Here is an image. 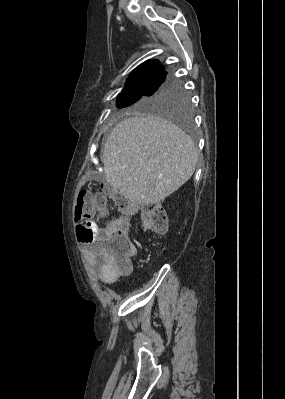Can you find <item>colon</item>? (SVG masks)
<instances>
[{"label": "colon", "mask_w": 285, "mask_h": 399, "mask_svg": "<svg viewBox=\"0 0 285 399\" xmlns=\"http://www.w3.org/2000/svg\"><path fill=\"white\" fill-rule=\"evenodd\" d=\"M111 202H116L125 211L136 214L142 220L144 226L152 231L165 233L167 221L165 211L158 203L147 204L142 208L131 205L121 199L108 185H104L98 191H90L85 188L77 194V204L74 209L75 220L78 223L76 230L83 241L94 240L102 246L105 257L112 263L117 271L126 273L129 271L134 256L132 243L127 236L128 223L125 218H120L107 227L100 228L97 232L86 230L82 225L83 220L93 221L96 217L105 216L103 209ZM84 232H86L84 234Z\"/></svg>", "instance_id": "1"}]
</instances>
